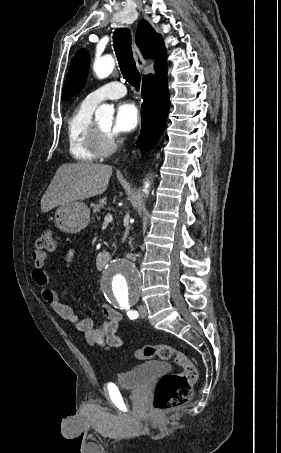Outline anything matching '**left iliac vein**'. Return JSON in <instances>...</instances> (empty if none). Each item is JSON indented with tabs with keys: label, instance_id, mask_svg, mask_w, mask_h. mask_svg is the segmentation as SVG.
Instances as JSON below:
<instances>
[{
	"label": "left iliac vein",
	"instance_id": "1",
	"mask_svg": "<svg viewBox=\"0 0 281 453\" xmlns=\"http://www.w3.org/2000/svg\"><path fill=\"white\" fill-rule=\"evenodd\" d=\"M142 305H143V306H142ZM145 309H146V306H145L144 304H141V307H140V309H139V310H140V311H139L140 316H147V315H146V310H145Z\"/></svg>",
	"mask_w": 281,
	"mask_h": 453
}]
</instances>
